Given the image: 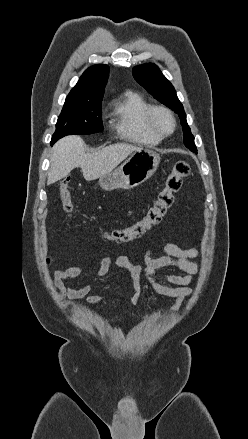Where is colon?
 Returning a JSON list of instances; mask_svg holds the SVG:
<instances>
[{
  "label": "colon",
  "instance_id": "colon-1",
  "mask_svg": "<svg viewBox=\"0 0 248 439\" xmlns=\"http://www.w3.org/2000/svg\"><path fill=\"white\" fill-rule=\"evenodd\" d=\"M190 172L191 168L187 162H177L172 172L167 176L163 189L145 216L128 228L104 232L101 235L102 239L110 244H121L144 235L161 221L172 205L175 193L180 190L183 180L190 175ZM60 199L62 210L70 216L73 211V203L68 179H64L60 184Z\"/></svg>",
  "mask_w": 248,
  "mask_h": 439
}]
</instances>
